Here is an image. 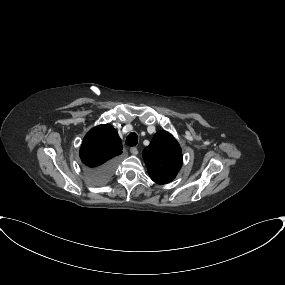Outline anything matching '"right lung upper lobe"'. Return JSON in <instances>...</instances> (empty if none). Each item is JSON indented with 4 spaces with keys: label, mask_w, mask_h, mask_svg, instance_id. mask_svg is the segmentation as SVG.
Instances as JSON below:
<instances>
[{
    "label": "right lung upper lobe",
    "mask_w": 285,
    "mask_h": 285,
    "mask_svg": "<svg viewBox=\"0 0 285 285\" xmlns=\"http://www.w3.org/2000/svg\"><path fill=\"white\" fill-rule=\"evenodd\" d=\"M122 149L117 131L109 124L99 125L85 135L80 158L87 167L94 169L115 159Z\"/></svg>",
    "instance_id": "1"
}]
</instances>
